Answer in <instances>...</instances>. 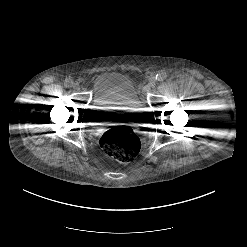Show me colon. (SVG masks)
Returning <instances> with one entry per match:
<instances>
[{
	"label": "colon",
	"instance_id": "1",
	"mask_svg": "<svg viewBox=\"0 0 247 247\" xmlns=\"http://www.w3.org/2000/svg\"><path fill=\"white\" fill-rule=\"evenodd\" d=\"M100 146L115 162H132L140 152L141 142L137 134L127 127L109 129L100 138Z\"/></svg>",
	"mask_w": 247,
	"mask_h": 247
}]
</instances>
